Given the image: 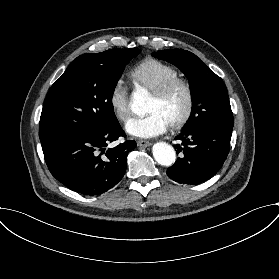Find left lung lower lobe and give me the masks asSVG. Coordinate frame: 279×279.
Masks as SVG:
<instances>
[{
	"label": "left lung lower lobe",
	"mask_w": 279,
	"mask_h": 279,
	"mask_svg": "<svg viewBox=\"0 0 279 279\" xmlns=\"http://www.w3.org/2000/svg\"><path fill=\"white\" fill-rule=\"evenodd\" d=\"M232 129L215 124H201L175 137V145L184 156L167 169L172 180L184 184H199L213 177L222 167L230 147Z\"/></svg>",
	"instance_id": "0a47b994"
}]
</instances>
